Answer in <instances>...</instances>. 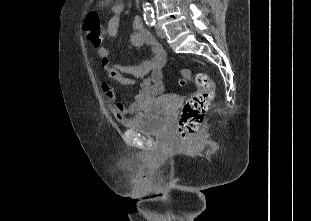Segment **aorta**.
Listing matches in <instances>:
<instances>
[{
	"instance_id": "1",
	"label": "aorta",
	"mask_w": 311,
	"mask_h": 221,
	"mask_svg": "<svg viewBox=\"0 0 311 221\" xmlns=\"http://www.w3.org/2000/svg\"><path fill=\"white\" fill-rule=\"evenodd\" d=\"M143 10H144V18L145 20H152L154 16L153 8L149 2H145L143 4Z\"/></svg>"
}]
</instances>
